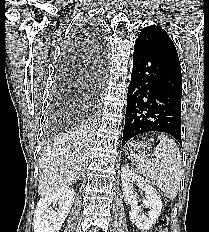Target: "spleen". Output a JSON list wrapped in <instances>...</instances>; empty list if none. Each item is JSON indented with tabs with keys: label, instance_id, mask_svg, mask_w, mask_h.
Returning <instances> with one entry per match:
<instances>
[{
	"label": "spleen",
	"instance_id": "spleen-1",
	"mask_svg": "<svg viewBox=\"0 0 209 232\" xmlns=\"http://www.w3.org/2000/svg\"><path fill=\"white\" fill-rule=\"evenodd\" d=\"M158 139L160 143L154 149V158L132 151L131 160L139 174L151 179L165 197L174 199L182 178L180 151L175 141L166 135H159Z\"/></svg>",
	"mask_w": 209,
	"mask_h": 232
}]
</instances>
